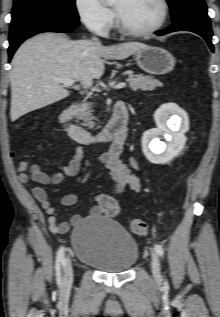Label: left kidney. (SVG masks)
<instances>
[{
    "instance_id": "obj_1",
    "label": "left kidney",
    "mask_w": 220,
    "mask_h": 317,
    "mask_svg": "<svg viewBox=\"0 0 220 317\" xmlns=\"http://www.w3.org/2000/svg\"><path fill=\"white\" fill-rule=\"evenodd\" d=\"M158 128L147 130L142 136V149L146 158L154 164H166L178 155L186 143L185 132L189 121L185 111L174 103H166L154 112ZM159 136L167 139L160 141Z\"/></svg>"
}]
</instances>
